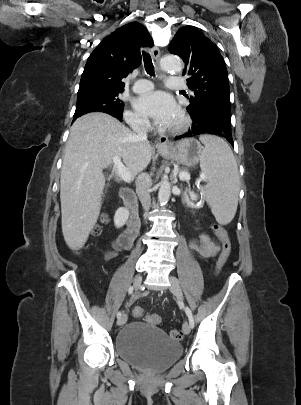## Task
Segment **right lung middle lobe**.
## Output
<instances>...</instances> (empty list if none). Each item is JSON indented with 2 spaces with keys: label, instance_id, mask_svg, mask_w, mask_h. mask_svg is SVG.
<instances>
[{
  "label": "right lung middle lobe",
  "instance_id": "right-lung-middle-lobe-1",
  "mask_svg": "<svg viewBox=\"0 0 301 405\" xmlns=\"http://www.w3.org/2000/svg\"><path fill=\"white\" fill-rule=\"evenodd\" d=\"M122 91L88 90L78 92L74 119L89 112H105L122 116L124 103L118 98Z\"/></svg>",
  "mask_w": 301,
  "mask_h": 405
}]
</instances>
